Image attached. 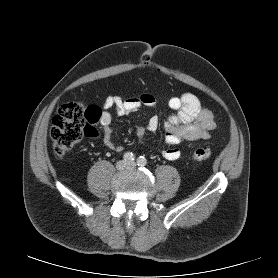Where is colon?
<instances>
[{
	"instance_id": "colon-1",
	"label": "colon",
	"mask_w": 278,
	"mask_h": 278,
	"mask_svg": "<svg viewBox=\"0 0 278 278\" xmlns=\"http://www.w3.org/2000/svg\"><path fill=\"white\" fill-rule=\"evenodd\" d=\"M102 111L98 106H86L80 102L64 104L52 121L50 138L57 158L64 157L83 137L97 135L95 124L100 120ZM192 159L197 162L211 157L208 147H199L192 152Z\"/></svg>"
}]
</instances>
